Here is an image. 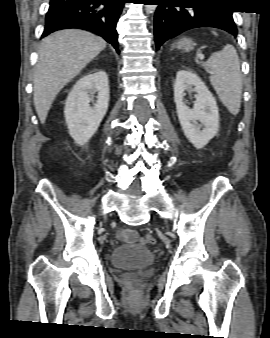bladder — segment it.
Instances as JSON below:
<instances>
[{
  "label": "bladder",
  "mask_w": 270,
  "mask_h": 338,
  "mask_svg": "<svg viewBox=\"0 0 270 338\" xmlns=\"http://www.w3.org/2000/svg\"><path fill=\"white\" fill-rule=\"evenodd\" d=\"M156 255L148 246L140 243H121L112 251L110 262L116 268L136 269L153 265Z\"/></svg>",
  "instance_id": "31cf9c89"
}]
</instances>
